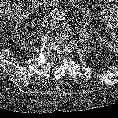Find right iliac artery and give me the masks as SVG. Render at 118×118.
<instances>
[{"label":"right iliac artery","instance_id":"1","mask_svg":"<svg viewBox=\"0 0 118 118\" xmlns=\"http://www.w3.org/2000/svg\"><path fill=\"white\" fill-rule=\"evenodd\" d=\"M53 11H54V10H53ZM54 14H55V15H59L56 11H54Z\"/></svg>","mask_w":118,"mask_h":118}]
</instances>
